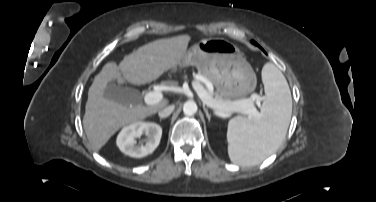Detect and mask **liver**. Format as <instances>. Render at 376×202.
Wrapping results in <instances>:
<instances>
[{"mask_svg": "<svg viewBox=\"0 0 376 202\" xmlns=\"http://www.w3.org/2000/svg\"><path fill=\"white\" fill-rule=\"evenodd\" d=\"M190 39L189 35H180L155 40L125 56L119 65L108 62L103 66L89 88L83 117L85 133L95 151H99L122 126L143 120L169 103L168 99H162L153 105L127 107L104 97L108 83L143 85L156 80L181 63Z\"/></svg>", "mask_w": 376, "mask_h": 202, "instance_id": "liver-1", "label": "liver"}]
</instances>
